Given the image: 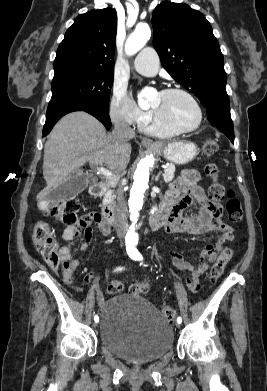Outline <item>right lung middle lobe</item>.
<instances>
[{
	"mask_svg": "<svg viewBox=\"0 0 267 391\" xmlns=\"http://www.w3.org/2000/svg\"><path fill=\"white\" fill-rule=\"evenodd\" d=\"M113 73L74 71L54 76L48 109L65 102H82L109 110Z\"/></svg>",
	"mask_w": 267,
	"mask_h": 391,
	"instance_id": "1",
	"label": "right lung middle lobe"
}]
</instances>
